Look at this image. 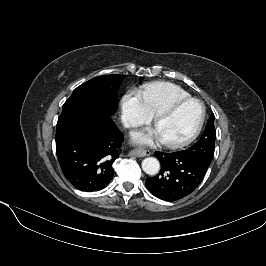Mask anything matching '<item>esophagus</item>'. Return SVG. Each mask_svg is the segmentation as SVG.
Returning <instances> with one entry per match:
<instances>
[{
  "label": "esophagus",
  "instance_id": "obj_1",
  "mask_svg": "<svg viewBox=\"0 0 266 266\" xmlns=\"http://www.w3.org/2000/svg\"><path fill=\"white\" fill-rule=\"evenodd\" d=\"M150 154L151 152L146 150H133L129 153L130 156H135V157H145L149 156Z\"/></svg>",
  "mask_w": 266,
  "mask_h": 266
}]
</instances>
